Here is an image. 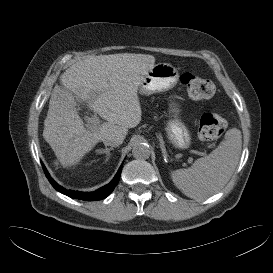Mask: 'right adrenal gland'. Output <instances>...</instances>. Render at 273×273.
Instances as JSON below:
<instances>
[{
    "label": "right adrenal gland",
    "instance_id": "obj_1",
    "mask_svg": "<svg viewBox=\"0 0 273 273\" xmlns=\"http://www.w3.org/2000/svg\"><path fill=\"white\" fill-rule=\"evenodd\" d=\"M111 150H114L113 147H110V148H104V149H99L97 150L98 153H105L106 154V161L108 160L109 156H110V151Z\"/></svg>",
    "mask_w": 273,
    "mask_h": 273
}]
</instances>
